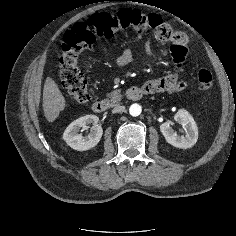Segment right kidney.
Listing matches in <instances>:
<instances>
[{"mask_svg":"<svg viewBox=\"0 0 236 236\" xmlns=\"http://www.w3.org/2000/svg\"><path fill=\"white\" fill-rule=\"evenodd\" d=\"M93 124L88 135L78 134L81 128ZM103 134L102 127L99 125V118L96 115H86L73 121L64 131L63 139L74 150L85 151L95 147Z\"/></svg>","mask_w":236,"mask_h":236,"instance_id":"obj_1","label":"right kidney"}]
</instances>
